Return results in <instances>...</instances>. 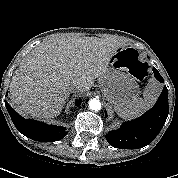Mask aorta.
<instances>
[{"label": "aorta", "mask_w": 178, "mask_h": 178, "mask_svg": "<svg viewBox=\"0 0 178 178\" xmlns=\"http://www.w3.org/2000/svg\"><path fill=\"white\" fill-rule=\"evenodd\" d=\"M89 108L91 110H95V111L100 110L101 109V103H100V101L97 100V99H91L89 101Z\"/></svg>", "instance_id": "aorta-1"}]
</instances>
